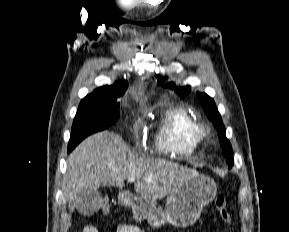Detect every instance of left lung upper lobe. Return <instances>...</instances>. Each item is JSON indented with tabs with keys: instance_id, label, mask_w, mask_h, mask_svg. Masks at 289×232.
<instances>
[{
	"instance_id": "1",
	"label": "left lung upper lobe",
	"mask_w": 289,
	"mask_h": 232,
	"mask_svg": "<svg viewBox=\"0 0 289 232\" xmlns=\"http://www.w3.org/2000/svg\"><path fill=\"white\" fill-rule=\"evenodd\" d=\"M157 78L159 82L167 79L166 77H162L160 75H157ZM168 88L174 90L181 98L189 94L191 90L190 86L179 87L176 86L173 82L168 84ZM197 97L208 118L213 122L214 127L218 131V137L220 139V144L222 146L224 156L228 160H233L231 144L225 136V128L213 99L207 94L200 92H197ZM227 163H229V161ZM231 165L232 164H230V166Z\"/></svg>"
}]
</instances>
